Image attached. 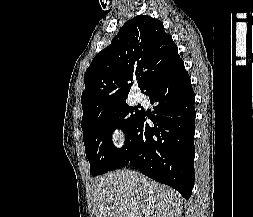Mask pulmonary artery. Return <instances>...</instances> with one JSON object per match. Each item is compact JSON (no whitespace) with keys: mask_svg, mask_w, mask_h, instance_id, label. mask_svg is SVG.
<instances>
[{"mask_svg":"<svg viewBox=\"0 0 253 217\" xmlns=\"http://www.w3.org/2000/svg\"><path fill=\"white\" fill-rule=\"evenodd\" d=\"M135 99L137 102H143L144 101V96L141 93H136Z\"/></svg>","mask_w":253,"mask_h":217,"instance_id":"1","label":"pulmonary artery"}]
</instances>
